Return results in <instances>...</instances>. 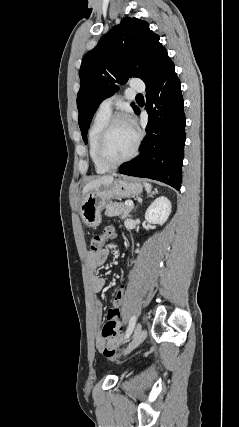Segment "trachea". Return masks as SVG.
<instances>
[{
  "label": "trachea",
  "mask_w": 239,
  "mask_h": 427,
  "mask_svg": "<svg viewBox=\"0 0 239 427\" xmlns=\"http://www.w3.org/2000/svg\"><path fill=\"white\" fill-rule=\"evenodd\" d=\"M137 97H142V95L141 94H137Z\"/></svg>",
  "instance_id": "1"
}]
</instances>
